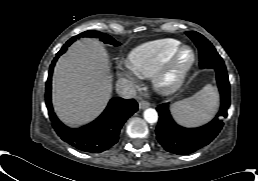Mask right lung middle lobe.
I'll return each mask as SVG.
<instances>
[{
  "label": "right lung middle lobe",
  "instance_id": "dd1d6c3e",
  "mask_svg": "<svg viewBox=\"0 0 258 181\" xmlns=\"http://www.w3.org/2000/svg\"><path fill=\"white\" fill-rule=\"evenodd\" d=\"M80 37H91V38L98 37L104 43L112 45L114 47L120 45V43L114 40L111 36L101 33L99 31H93V30L85 31L77 36L72 37L70 40L66 42L65 45L67 46L71 45L76 39Z\"/></svg>",
  "mask_w": 258,
  "mask_h": 181
}]
</instances>
